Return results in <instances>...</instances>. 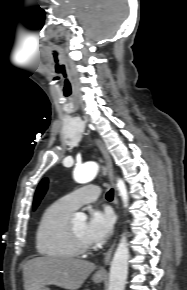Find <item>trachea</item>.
<instances>
[{"mask_svg":"<svg viewBox=\"0 0 187 290\" xmlns=\"http://www.w3.org/2000/svg\"><path fill=\"white\" fill-rule=\"evenodd\" d=\"M113 196H114V191H113V189H110V190L107 192V194H106V198H107L108 200H112V199H113Z\"/></svg>","mask_w":187,"mask_h":290,"instance_id":"trachea-1","label":"trachea"}]
</instances>
